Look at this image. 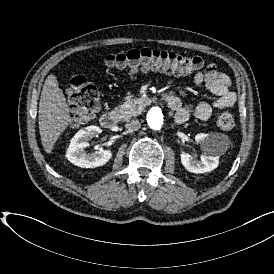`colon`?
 <instances>
[{"instance_id":"obj_1","label":"colon","mask_w":274,"mask_h":274,"mask_svg":"<svg viewBox=\"0 0 274 274\" xmlns=\"http://www.w3.org/2000/svg\"><path fill=\"white\" fill-rule=\"evenodd\" d=\"M104 63L122 70L157 69L177 74L191 73L202 69L205 65L203 58L199 55L180 54L170 50L152 48L130 49L109 54L105 57ZM66 94L76 112L71 121L73 124L94 114L99 109L97 88L82 76H71ZM215 123L219 129L230 131L236 125L235 115L232 111L220 110L216 115Z\"/></svg>"}]
</instances>
